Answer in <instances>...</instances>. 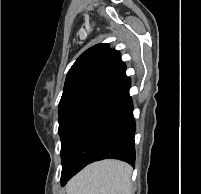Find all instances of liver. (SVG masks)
<instances>
[{
	"label": "liver",
	"mask_w": 201,
	"mask_h": 194,
	"mask_svg": "<svg viewBox=\"0 0 201 194\" xmlns=\"http://www.w3.org/2000/svg\"><path fill=\"white\" fill-rule=\"evenodd\" d=\"M132 167L118 160L92 163L75 175L66 194H132Z\"/></svg>",
	"instance_id": "liver-1"
}]
</instances>
